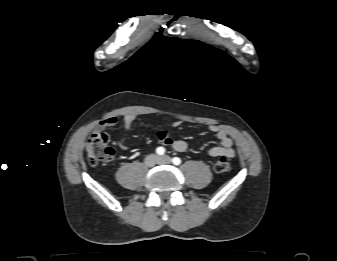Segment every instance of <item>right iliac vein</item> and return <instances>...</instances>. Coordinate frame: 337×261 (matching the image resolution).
Returning <instances> with one entry per match:
<instances>
[{
	"instance_id": "63e3f726",
	"label": "right iliac vein",
	"mask_w": 337,
	"mask_h": 261,
	"mask_svg": "<svg viewBox=\"0 0 337 261\" xmlns=\"http://www.w3.org/2000/svg\"><path fill=\"white\" fill-rule=\"evenodd\" d=\"M159 158L155 154H150L145 158V164L148 167H153L156 163H158Z\"/></svg>"
}]
</instances>
